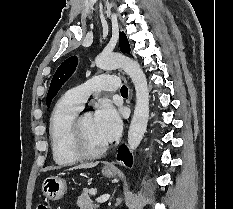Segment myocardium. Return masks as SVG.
Returning <instances> with one entry per match:
<instances>
[{
  "instance_id": "obj_1",
  "label": "myocardium",
  "mask_w": 233,
  "mask_h": 209,
  "mask_svg": "<svg viewBox=\"0 0 233 209\" xmlns=\"http://www.w3.org/2000/svg\"><path fill=\"white\" fill-rule=\"evenodd\" d=\"M85 115L76 116L69 128V145L72 152L82 159H95L101 157L108 149L105 144L97 150H90L83 142L81 134V120Z\"/></svg>"
}]
</instances>
